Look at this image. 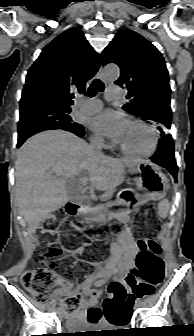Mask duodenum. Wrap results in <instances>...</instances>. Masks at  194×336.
<instances>
[{
	"mask_svg": "<svg viewBox=\"0 0 194 336\" xmlns=\"http://www.w3.org/2000/svg\"><path fill=\"white\" fill-rule=\"evenodd\" d=\"M84 206L76 203H68L66 205V210L70 215H78L84 210Z\"/></svg>",
	"mask_w": 194,
	"mask_h": 336,
	"instance_id": "obj_1",
	"label": "duodenum"
}]
</instances>
